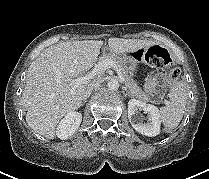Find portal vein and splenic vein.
Wrapping results in <instances>:
<instances>
[{"mask_svg":"<svg viewBox=\"0 0 209 179\" xmlns=\"http://www.w3.org/2000/svg\"><path fill=\"white\" fill-rule=\"evenodd\" d=\"M112 67L115 68V71H116L118 77H119L121 80H123V78H122V76H121V73H120V71L115 67L114 62H113L112 60H110V59H106V60H104L103 62L98 63V64L95 66V68H94L91 72L85 74V75L82 76V77H79V78H76V79L72 80L71 85L74 86V87H76V86H78V85H80V84H83V83H85L86 81H88V80H90V79H93L95 76L104 73L107 69H110V68H112Z\"/></svg>","mask_w":209,"mask_h":179,"instance_id":"obj_1","label":"portal vein and splenic vein"}]
</instances>
